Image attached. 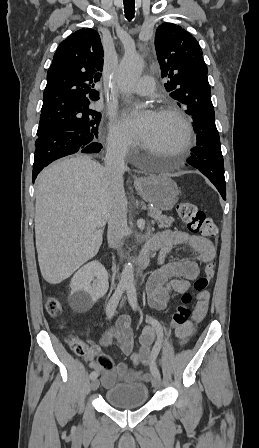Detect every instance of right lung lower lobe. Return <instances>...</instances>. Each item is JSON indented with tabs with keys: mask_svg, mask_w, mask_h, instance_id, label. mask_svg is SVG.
Returning <instances> with one entry per match:
<instances>
[{
	"mask_svg": "<svg viewBox=\"0 0 259 448\" xmlns=\"http://www.w3.org/2000/svg\"><path fill=\"white\" fill-rule=\"evenodd\" d=\"M35 160L33 164V183L40 171L51 162L74 154L98 153L102 145L98 142H88L86 137L74 132L57 131L38 137L35 143Z\"/></svg>",
	"mask_w": 259,
	"mask_h": 448,
	"instance_id": "98d812e1",
	"label": "right lung lower lobe"
}]
</instances>
